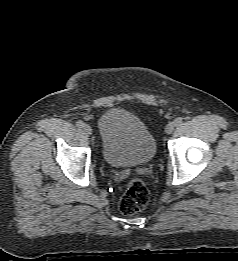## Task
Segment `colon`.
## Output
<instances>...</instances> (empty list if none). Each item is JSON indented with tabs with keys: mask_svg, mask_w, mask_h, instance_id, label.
<instances>
[{
	"mask_svg": "<svg viewBox=\"0 0 238 261\" xmlns=\"http://www.w3.org/2000/svg\"><path fill=\"white\" fill-rule=\"evenodd\" d=\"M150 192L143 180L132 178L129 180L126 191L122 196L119 209L124 215L138 213L147 205Z\"/></svg>",
	"mask_w": 238,
	"mask_h": 261,
	"instance_id": "1",
	"label": "colon"
}]
</instances>
